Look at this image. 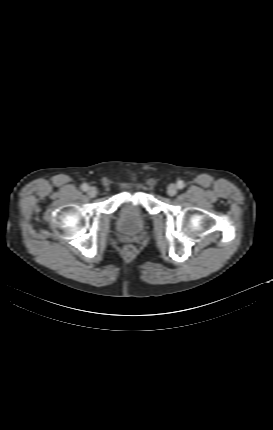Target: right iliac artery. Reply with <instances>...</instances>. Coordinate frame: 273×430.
I'll use <instances>...</instances> for the list:
<instances>
[{
  "label": "right iliac artery",
  "instance_id": "obj_1",
  "mask_svg": "<svg viewBox=\"0 0 273 430\" xmlns=\"http://www.w3.org/2000/svg\"><path fill=\"white\" fill-rule=\"evenodd\" d=\"M81 188L83 191H87L89 189V186L86 183H84L82 184Z\"/></svg>",
  "mask_w": 273,
  "mask_h": 430
}]
</instances>
